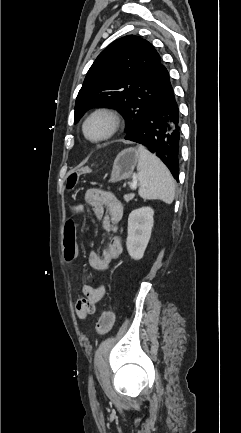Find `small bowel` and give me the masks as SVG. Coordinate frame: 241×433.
Wrapping results in <instances>:
<instances>
[{
	"instance_id": "1",
	"label": "small bowel",
	"mask_w": 241,
	"mask_h": 433,
	"mask_svg": "<svg viewBox=\"0 0 241 433\" xmlns=\"http://www.w3.org/2000/svg\"><path fill=\"white\" fill-rule=\"evenodd\" d=\"M86 202L93 208L94 214L101 221L107 232H115L117 223L123 216V206L120 200L111 192L102 189H90L86 192ZM80 208L73 209V214L79 212ZM77 228V226H76ZM66 229V228H65ZM77 254V251H75ZM123 247L121 238L114 235L110 238L102 253L91 252L89 254L90 266L98 271L107 270L111 263L122 255ZM105 294V285L94 286L86 284L83 287V297L76 305L75 311L79 319H85L96 310L97 303Z\"/></svg>"
}]
</instances>
